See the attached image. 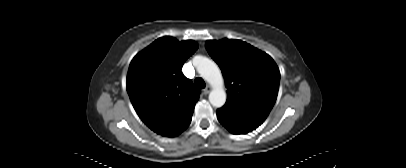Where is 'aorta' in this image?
Masks as SVG:
<instances>
[{
	"label": "aorta",
	"mask_w": 406,
	"mask_h": 168,
	"mask_svg": "<svg viewBox=\"0 0 406 168\" xmlns=\"http://www.w3.org/2000/svg\"><path fill=\"white\" fill-rule=\"evenodd\" d=\"M194 65L198 73L213 87L209 94V101L213 107L220 108L226 102L224 80L217 64L202 56L194 59Z\"/></svg>",
	"instance_id": "aorta-1"
}]
</instances>
